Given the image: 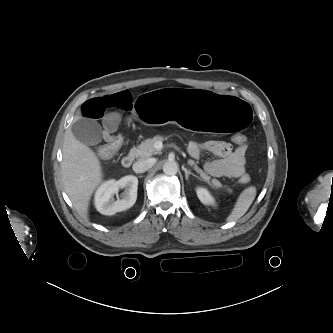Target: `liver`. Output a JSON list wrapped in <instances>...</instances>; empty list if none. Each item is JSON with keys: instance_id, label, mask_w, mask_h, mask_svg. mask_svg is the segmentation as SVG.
<instances>
[{"instance_id": "liver-1", "label": "liver", "mask_w": 333, "mask_h": 333, "mask_svg": "<svg viewBox=\"0 0 333 333\" xmlns=\"http://www.w3.org/2000/svg\"><path fill=\"white\" fill-rule=\"evenodd\" d=\"M62 152L64 190L78 212L87 218L91 196L102 182L100 161L92 149L74 137L71 129L64 136Z\"/></svg>"}]
</instances>
